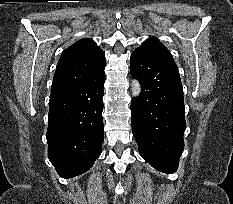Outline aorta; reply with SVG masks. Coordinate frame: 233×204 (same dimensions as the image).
<instances>
[{
  "instance_id": "aorta-1",
  "label": "aorta",
  "mask_w": 233,
  "mask_h": 204,
  "mask_svg": "<svg viewBox=\"0 0 233 204\" xmlns=\"http://www.w3.org/2000/svg\"><path fill=\"white\" fill-rule=\"evenodd\" d=\"M131 91L134 97H138L141 93V84L136 78L132 79Z\"/></svg>"
}]
</instances>
